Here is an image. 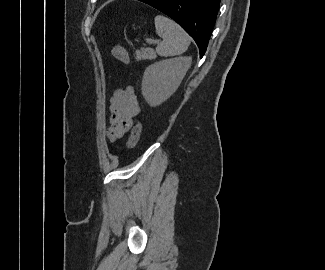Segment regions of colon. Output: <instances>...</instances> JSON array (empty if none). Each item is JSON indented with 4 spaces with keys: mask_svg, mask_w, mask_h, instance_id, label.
Masks as SVG:
<instances>
[{
    "mask_svg": "<svg viewBox=\"0 0 325 270\" xmlns=\"http://www.w3.org/2000/svg\"><path fill=\"white\" fill-rule=\"evenodd\" d=\"M112 56L116 58L117 60L121 61L124 64L130 63V57L127 53V51L120 45H116L111 50ZM142 132V124L141 122H137L136 125L133 127L129 140H128V146L130 148H133L137 145L140 135Z\"/></svg>",
    "mask_w": 325,
    "mask_h": 270,
    "instance_id": "1",
    "label": "colon"
}]
</instances>
